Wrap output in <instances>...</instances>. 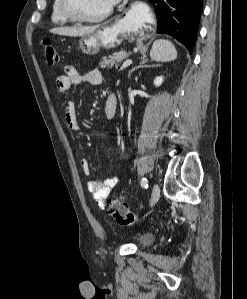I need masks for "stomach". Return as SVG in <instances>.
<instances>
[{
  "mask_svg": "<svg viewBox=\"0 0 247 299\" xmlns=\"http://www.w3.org/2000/svg\"><path fill=\"white\" fill-rule=\"evenodd\" d=\"M127 36V29L122 22H106L94 32L83 36L79 41V48L84 54L95 55L102 48L111 49L118 46Z\"/></svg>",
  "mask_w": 247,
  "mask_h": 299,
  "instance_id": "obj_1",
  "label": "stomach"
}]
</instances>
